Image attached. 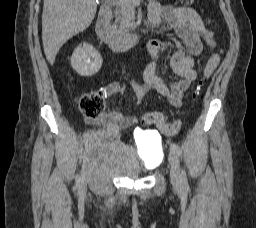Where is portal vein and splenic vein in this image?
Listing matches in <instances>:
<instances>
[{
    "label": "portal vein and splenic vein",
    "instance_id": "obj_1",
    "mask_svg": "<svg viewBox=\"0 0 256 228\" xmlns=\"http://www.w3.org/2000/svg\"><path fill=\"white\" fill-rule=\"evenodd\" d=\"M120 2H133L136 5H139L141 0H119Z\"/></svg>",
    "mask_w": 256,
    "mask_h": 228
}]
</instances>
